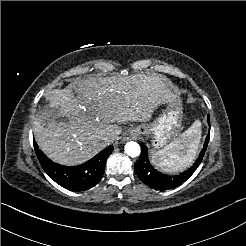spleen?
Wrapping results in <instances>:
<instances>
[{"label":"spleen","mask_w":246,"mask_h":246,"mask_svg":"<svg viewBox=\"0 0 246 246\" xmlns=\"http://www.w3.org/2000/svg\"><path fill=\"white\" fill-rule=\"evenodd\" d=\"M201 139V123L196 120L185 132L152 156V162L170 174L185 170L196 157Z\"/></svg>","instance_id":"3e777b00"}]
</instances>
